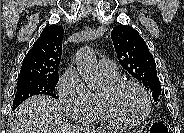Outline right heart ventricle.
<instances>
[{
    "label": "right heart ventricle",
    "mask_w": 184,
    "mask_h": 133,
    "mask_svg": "<svg viewBox=\"0 0 184 133\" xmlns=\"http://www.w3.org/2000/svg\"><path fill=\"white\" fill-rule=\"evenodd\" d=\"M103 76L107 83H113L118 81V75L109 76V75L103 74ZM94 103H95L94 114L91 121L110 122L102 109L99 93L94 94Z\"/></svg>",
    "instance_id": "e07e8e85"
}]
</instances>
